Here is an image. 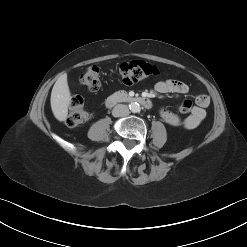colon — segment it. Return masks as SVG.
I'll return each instance as SVG.
<instances>
[{"label":"colon","instance_id":"obj_1","mask_svg":"<svg viewBox=\"0 0 247 247\" xmlns=\"http://www.w3.org/2000/svg\"><path fill=\"white\" fill-rule=\"evenodd\" d=\"M118 73L125 85H132L148 77L158 74L155 66L141 60H133L120 64ZM80 83L90 91H96L101 85L100 70L97 66L88 67L80 76ZM192 102L185 100L178 108L182 114L190 112ZM90 119V114L84 107L81 96L74 95L70 102L66 124L70 127H77L86 123Z\"/></svg>","mask_w":247,"mask_h":247}]
</instances>
